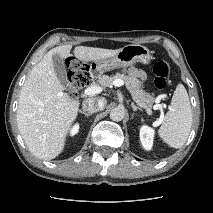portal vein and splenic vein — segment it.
I'll use <instances>...</instances> for the list:
<instances>
[{
    "label": "portal vein and splenic vein",
    "instance_id": "18ae733b",
    "mask_svg": "<svg viewBox=\"0 0 213 213\" xmlns=\"http://www.w3.org/2000/svg\"><path fill=\"white\" fill-rule=\"evenodd\" d=\"M113 85H114L115 87L123 86V85H124V81H123L122 79H116V80L113 81ZM102 90H103V88H102L101 86L94 85V86H90V87L86 88V89L84 90V94H85V95H88V96H93V95H95V94L101 93ZM153 109H154V110L160 109V110L162 111V105H159V104H158V105H154ZM147 113H148L149 115H151V110H150V109H147Z\"/></svg>",
    "mask_w": 213,
    "mask_h": 213
}]
</instances>
